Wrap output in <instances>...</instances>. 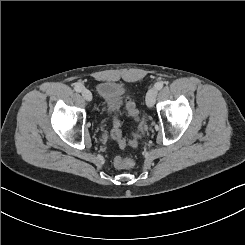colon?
<instances>
[{
	"label": "colon",
	"instance_id": "obj_1",
	"mask_svg": "<svg viewBox=\"0 0 245 245\" xmlns=\"http://www.w3.org/2000/svg\"><path fill=\"white\" fill-rule=\"evenodd\" d=\"M125 109L127 111V114L132 117L133 119H137L139 115V111L135 105V103L131 100H128L125 104ZM119 123L115 122L113 129L111 131L112 137L119 143L121 147H126V146H134L136 144V137H134L131 140H125L122 138L121 133H120V127ZM114 164L117 168L119 169H129L133 167L134 162L130 158L118 156L114 160Z\"/></svg>",
	"mask_w": 245,
	"mask_h": 245
}]
</instances>
